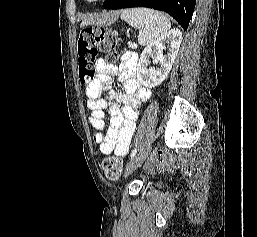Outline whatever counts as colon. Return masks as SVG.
<instances>
[{"label": "colon", "instance_id": "1", "mask_svg": "<svg viewBox=\"0 0 257 237\" xmlns=\"http://www.w3.org/2000/svg\"><path fill=\"white\" fill-rule=\"evenodd\" d=\"M117 36L113 32L98 27H87L79 35L77 43L79 77L83 85L89 84L95 74V60L99 53L108 55L109 61L116 59ZM158 167L165 165L163 154H159ZM102 169L107 179L118 180L123 173L122 162L118 157L110 156L102 161Z\"/></svg>", "mask_w": 257, "mask_h": 237}]
</instances>
